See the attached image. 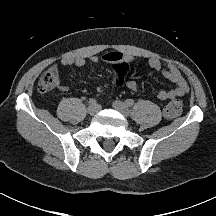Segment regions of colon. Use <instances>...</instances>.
I'll return each instance as SVG.
<instances>
[{
    "label": "colon",
    "instance_id": "obj_1",
    "mask_svg": "<svg viewBox=\"0 0 216 216\" xmlns=\"http://www.w3.org/2000/svg\"><path fill=\"white\" fill-rule=\"evenodd\" d=\"M127 67L122 64L114 79L115 86H121L125 81V75ZM59 83V74L57 69L50 68L40 77L38 81V90L42 93L49 92L56 88ZM182 101L178 98H174L168 102L164 109V114L168 118H174L178 116L182 111Z\"/></svg>",
    "mask_w": 216,
    "mask_h": 216
}]
</instances>
